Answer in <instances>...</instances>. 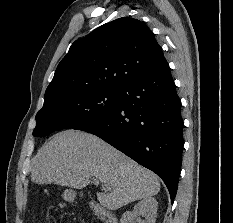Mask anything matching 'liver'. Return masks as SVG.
Listing matches in <instances>:
<instances>
[{
  "instance_id": "1",
  "label": "liver",
  "mask_w": 233,
  "mask_h": 223,
  "mask_svg": "<svg viewBox=\"0 0 233 223\" xmlns=\"http://www.w3.org/2000/svg\"><path fill=\"white\" fill-rule=\"evenodd\" d=\"M98 177L107 185L106 191H96V197L106 209L156 195L160 181L146 167L92 133L66 129L55 133L32 157L31 181L45 185L57 183L74 189L89 185Z\"/></svg>"
}]
</instances>
